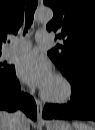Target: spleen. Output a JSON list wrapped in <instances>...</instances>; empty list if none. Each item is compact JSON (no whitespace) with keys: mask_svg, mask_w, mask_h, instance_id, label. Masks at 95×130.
I'll use <instances>...</instances> for the list:
<instances>
[{"mask_svg":"<svg viewBox=\"0 0 95 130\" xmlns=\"http://www.w3.org/2000/svg\"><path fill=\"white\" fill-rule=\"evenodd\" d=\"M73 127L75 130H94V128L82 121H73Z\"/></svg>","mask_w":95,"mask_h":130,"instance_id":"1","label":"spleen"}]
</instances>
